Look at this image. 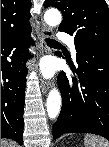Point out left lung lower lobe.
Returning a JSON list of instances; mask_svg holds the SVG:
<instances>
[{
  "label": "left lung lower lobe",
  "instance_id": "obj_1",
  "mask_svg": "<svg viewBox=\"0 0 109 147\" xmlns=\"http://www.w3.org/2000/svg\"><path fill=\"white\" fill-rule=\"evenodd\" d=\"M74 43L78 68H70L77 76L68 79L63 71L58 76L63 105L53 138L84 132L109 140V49L76 39Z\"/></svg>",
  "mask_w": 109,
  "mask_h": 147
}]
</instances>
